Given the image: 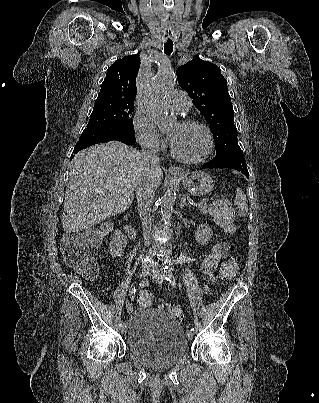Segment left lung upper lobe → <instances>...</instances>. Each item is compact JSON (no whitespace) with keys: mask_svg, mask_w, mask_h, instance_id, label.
Wrapping results in <instances>:
<instances>
[{"mask_svg":"<svg viewBox=\"0 0 319 403\" xmlns=\"http://www.w3.org/2000/svg\"><path fill=\"white\" fill-rule=\"evenodd\" d=\"M176 74L179 85L192 97L193 104L210 125L216 155L221 156L231 150L241 151L227 81L220 68L195 58L180 66Z\"/></svg>","mask_w":319,"mask_h":403,"instance_id":"obj_1","label":"left lung upper lobe"}]
</instances>
